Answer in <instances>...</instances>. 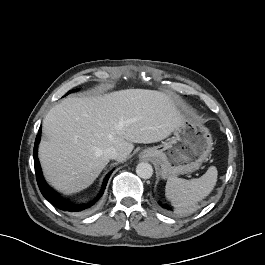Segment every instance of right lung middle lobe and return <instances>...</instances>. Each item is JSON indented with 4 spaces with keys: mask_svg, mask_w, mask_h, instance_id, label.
Returning a JSON list of instances; mask_svg holds the SVG:
<instances>
[{
    "mask_svg": "<svg viewBox=\"0 0 265 265\" xmlns=\"http://www.w3.org/2000/svg\"><path fill=\"white\" fill-rule=\"evenodd\" d=\"M75 91H77V89L71 90V91H69L67 94H69V93H71V92H75ZM67 94H66V95H67Z\"/></svg>",
    "mask_w": 265,
    "mask_h": 265,
    "instance_id": "dd1d6c3e",
    "label": "right lung middle lobe"
}]
</instances>
